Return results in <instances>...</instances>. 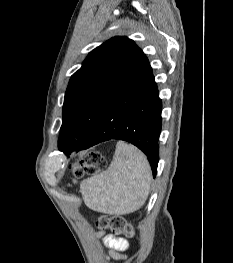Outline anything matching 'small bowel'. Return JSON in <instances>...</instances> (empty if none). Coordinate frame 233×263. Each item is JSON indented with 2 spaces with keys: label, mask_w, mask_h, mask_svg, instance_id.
Here are the masks:
<instances>
[{
  "label": "small bowel",
  "mask_w": 233,
  "mask_h": 263,
  "mask_svg": "<svg viewBox=\"0 0 233 263\" xmlns=\"http://www.w3.org/2000/svg\"><path fill=\"white\" fill-rule=\"evenodd\" d=\"M98 237H102L104 244L109 249V256L115 260L125 258V252L128 250L129 243L123 237H118L105 232L98 233Z\"/></svg>",
  "instance_id": "1"
}]
</instances>
